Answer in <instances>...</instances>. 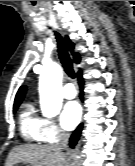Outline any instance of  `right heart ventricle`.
Listing matches in <instances>:
<instances>
[{
  "label": "right heart ventricle",
  "instance_id": "obj_1",
  "mask_svg": "<svg viewBox=\"0 0 135 166\" xmlns=\"http://www.w3.org/2000/svg\"><path fill=\"white\" fill-rule=\"evenodd\" d=\"M43 122L34 105L28 102L24 105L19 115V129L22 137L29 143H40L43 139Z\"/></svg>",
  "mask_w": 135,
  "mask_h": 166
}]
</instances>
